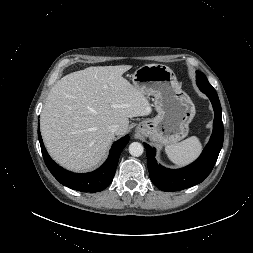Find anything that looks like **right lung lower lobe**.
Segmentation results:
<instances>
[{"label":"right lung lower lobe","instance_id":"obj_1","mask_svg":"<svg viewBox=\"0 0 253 253\" xmlns=\"http://www.w3.org/2000/svg\"><path fill=\"white\" fill-rule=\"evenodd\" d=\"M38 137L45 164L52 175L64 186L81 192H99L110 185L120 153L129 141L128 135L119 139L112 145L108 159L100 168L90 173L78 174L64 170L50 158L44 147L39 128Z\"/></svg>","mask_w":253,"mask_h":253}]
</instances>
